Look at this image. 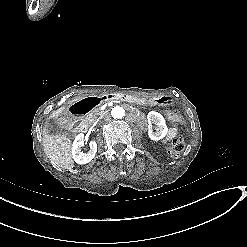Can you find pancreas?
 <instances>
[{
    "label": "pancreas",
    "instance_id": "pancreas-1",
    "mask_svg": "<svg viewBox=\"0 0 247 247\" xmlns=\"http://www.w3.org/2000/svg\"><path fill=\"white\" fill-rule=\"evenodd\" d=\"M103 114V111H100V109L96 108L93 111H91L85 118V120L89 123L92 124L93 121L96 120L97 116H100Z\"/></svg>",
    "mask_w": 247,
    "mask_h": 247
}]
</instances>
